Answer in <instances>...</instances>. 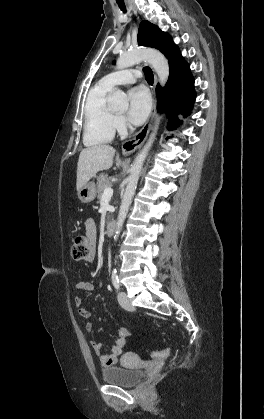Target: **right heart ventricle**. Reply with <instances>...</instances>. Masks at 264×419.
Here are the masks:
<instances>
[{
    "mask_svg": "<svg viewBox=\"0 0 264 419\" xmlns=\"http://www.w3.org/2000/svg\"><path fill=\"white\" fill-rule=\"evenodd\" d=\"M111 88L102 81L88 93L85 103L83 142L86 146H97L112 141L115 134V114L107 106Z\"/></svg>",
    "mask_w": 264,
    "mask_h": 419,
    "instance_id": "1",
    "label": "right heart ventricle"
}]
</instances>
